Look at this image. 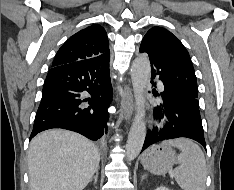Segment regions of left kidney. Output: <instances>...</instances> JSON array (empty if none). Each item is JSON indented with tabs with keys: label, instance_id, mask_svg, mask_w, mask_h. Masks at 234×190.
Here are the masks:
<instances>
[{
	"label": "left kidney",
	"instance_id": "5707ae66",
	"mask_svg": "<svg viewBox=\"0 0 234 190\" xmlns=\"http://www.w3.org/2000/svg\"><path fill=\"white\" fill-rule=\"evenodd\" d=\"M155 190H170V189H168L167 187H164V186H160V187L156 188Z\"/></svg>",
	"mask_w": 234,
	"mask_h": 190
}]
</instances>
